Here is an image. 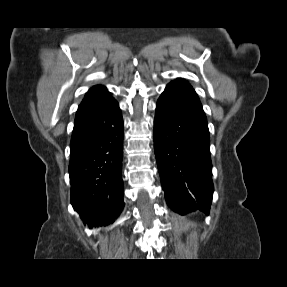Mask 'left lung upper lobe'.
Masks as SVG:
<instances>
[{
	"label": "left lung upper lobe",
	"mask_w": 287,
	"mask_h": 287,
	"mask_svg": "<svg viewBox=\"0 0 287 287\" xmlns=\"http://www.w3.org/2000/svg\"><path fill=\"white\" fill-rule=\"evenodd\" d=\"M170 84H173L177 88H179L185 94V96L188 98V100L192 104H194L195 106L202 109V105L200 103V100H199L196 92L194 91V89L192 88V86L188 82L178 78L177 80L172 81Z\"/></svg>",
	"instance_id": "obj_1"
}]
</instances>
